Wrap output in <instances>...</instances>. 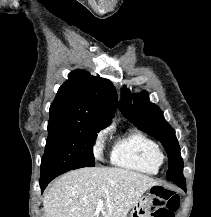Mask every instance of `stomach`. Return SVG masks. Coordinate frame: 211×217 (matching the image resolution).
<instances>
[{
    "label": "stomach",
    "mask_w": 211,
    "mask_h": 217,
    "mask_svg": "<svg viewBox=\"0 0 211 217\" xmlns=\"http://www.w3.org/2000/svg\"><path fill=\"white\" fill-rule=\"evenodd\" d=\"M154 186L151 187V189ZM155 189V188H154ZM150 192L141 196L136 204L133 205L130 217H150V208H151V198Z\"/></svg>",
    "instance_id": "0dacf381"
}]
</instances>
